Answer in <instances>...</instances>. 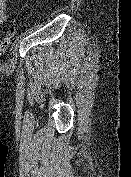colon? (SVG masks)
I'll use <instances>...</instances> for the list:
<instances>
[{
  "instance_id": "5ec220e1",
  "label": "colon",
  "mask_w": 131,
  "mask_h": 177,
  "mask_svg": "<svg viewBox=\"0 0 131 177\" xmlns=\"http://www.w3.org/2000/svg\"><path fill=\"white\" fill-rule=\"evenodd\" d=\"M16 35V31L14 29L9 30L4 37L0 40V55L6 53L12 44L14 37Z\"/></svg>"
}]
</instances>
